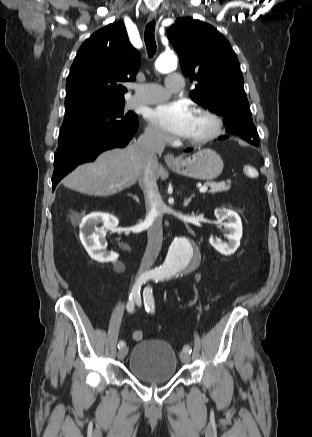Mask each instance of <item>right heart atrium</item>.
Here are the masks:
<instances>
[{
	"instance_id": "d8ad5b80",
	"label": "right heart atrium",
	"mask_w": 312,
	"mask_h": 437,
	"mask_svg": "<svg viewBox=\"0 0 312 437\" xmlns=\"http://www.w3.org/2000/svg\"><path fill=\"white\" fill-rule=\"evenodd\" d=\"M145 136L155 143H165L168 138L167 136L158 130L156 127L150 125L145 130Z\"/></svg>"
}]
</instances>
